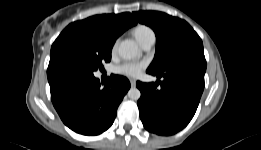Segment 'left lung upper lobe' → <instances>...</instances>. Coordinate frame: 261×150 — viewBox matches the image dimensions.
<instances>
[{
    "label": "left lung upper lobe",
    "mask_w": 261,
    "mask_h": 150,
    "mask_svg": "<svg viewBox=\"0 0 261 150\" xmlns=\"http://www.w3.org/2000/svg\"><path fill=\"white\" fill-rule=\"evenodd\" d=\"M132 14L140 23L150 26L156 35L155 57L147 70L162 73L186 57L205 59L201 38L184 20L157 11Z\"/></svg>",
    "instance_id": "5c2ea615"
}]
</instances>
